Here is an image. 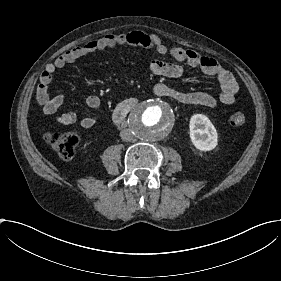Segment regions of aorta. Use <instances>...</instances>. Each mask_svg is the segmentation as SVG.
Listing matches in <instances>:
<instances>
[{"mask_svg": "<svg viewBox=\"0 0 281 281\" xmlns=\"http://www.w3.org/2000/svg\"><path fill=\"white\" fill-rule=\"evenodd\" d=\"M131 132L144 141H157L167 136L174 125L172 110L154 100L139 103L128 119Z\"/></svg>", "mask_w": 281, "mask_h": 281, "instance_id": "obj_1", "label": "aorta"}]
</instances>
